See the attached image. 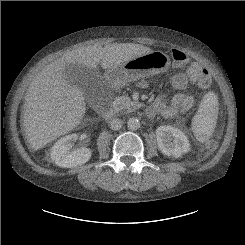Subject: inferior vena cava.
<instances>
[{
  "label": "inferior vena cava",
  "instance_id": "1",
  "mask_svg": "<svg viewBox=\"0 0 245 245\" xmlns=\"http://www.w3.org/2000/svg\"><path fill=\"white\" fill-rule=\"evenodd\" d=\"M122 121L120 120V119H113L112 121H111V123H110V128L112 129V130H119V129H121V127H122Z\"/></svg>",
  "mask_w": 245,
  "mask_h": 245
}]
</instances>
